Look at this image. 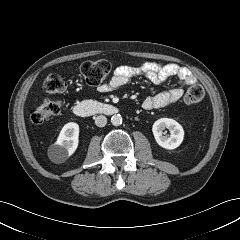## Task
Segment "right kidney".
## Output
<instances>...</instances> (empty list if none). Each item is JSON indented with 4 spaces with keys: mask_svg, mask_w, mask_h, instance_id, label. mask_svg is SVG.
<instances>
[{
    "mask_svg": "<svg viewBox=\"0 0 240 240\" xmlns=\"http://www.w3.org/2000/svg\"><path fill=\"white\" fill-rule=\"evenodd\" d=\"M79 143V125L69 122L62 128L57 141L51 147L55 162H62L71 156Z\"/></svg>",
    "mask_w": 240,
    "mask_h": 240,
    "instance_id": "1",
    "label": "right kidney"
}]
</instances>
